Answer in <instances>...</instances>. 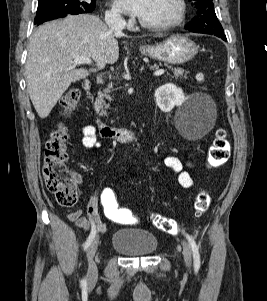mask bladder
I'll return each instance as SVG.
<instances>
[{"instance_id": "1", "label": "bladder", "mask_w": 267, "mask_h": 301, "mask_svg": "<svg viewBox=\"0 0 267 301\" xmlns=\"http://www.w3.org/2000/svg\"><path fill=\"white\" fill-rule=\"evenodd\" d=\"M114 250L131 257L153 254L158 248L157 237L150 231L122 228L114 232L111 240Z\"/></svg>"}]
</instances>
